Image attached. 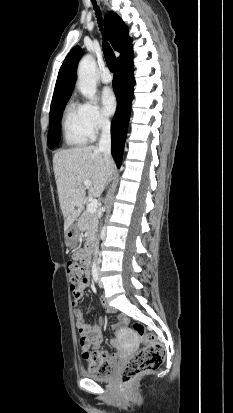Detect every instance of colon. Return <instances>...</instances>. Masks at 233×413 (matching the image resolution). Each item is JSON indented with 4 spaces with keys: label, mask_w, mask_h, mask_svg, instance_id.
Listing matches in <instances>:
<instances>
[{
    "label": "colon",
    "mask_w": 233,
    "mask_h": 413,
    "mask_svg": "<svg viewBox=\"0 0 233 413\" xmlns=\"http://www.w3.org/2000/svg\"><path fill=\"white\" fill-rule=\"evenodd\" d=\"M80 262L71 260L67 264V272L70 284L74 290L85 278V268ZM133 330L143 340V347L135 353L121 372V381L124 383L131 382L139 375L157 369L164 360V348L156 337L146 331L142 324L133 325ZM85 359H90L92 370L100 374L110 372V362L108 356L104 353L90 355L88 352L83 353Z\"/></svg>",
    "instance_id": "1"
}]
</instances>
